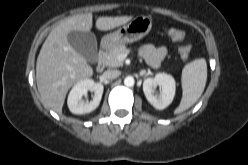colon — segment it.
Segmentation results:
<instances>
[{
	"label": "colon",
	"instance_id": "obj_1",
	"mask_svg": "<svg viewBox=\"0 0 248 165\" xmlns=\"http://www.w3.org/2000/svg\"><path fill=\"white\" fill-rule=\"evenodd\" d=\"M169 37L172 41L180 43L179 53L183 60H187L191 54L190 44L185 42V33L179 29L169 30Z\"/></svg>",
	"mask_w": 248,
	"mask_h": 165
}]
</instances>
